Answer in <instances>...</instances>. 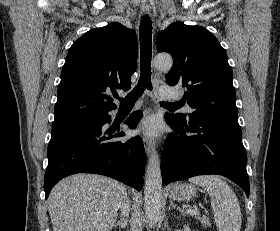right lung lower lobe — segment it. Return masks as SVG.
I'll list each match as a JSON object with an SVG mask.
<instances>
[{
	"instance_id": "1",
	"label": "right lung lower lobe",
	"mask_w": 280,
	"mask_h": 231,
	"mask_svg": "<svg viewBox=\"0 0 280 231\" xmlns=\"http://www.w3.org/2000/svg\"><path fill=\"white\" fill-rule=\"evenodd\" d=\"M141 112L126 121L136 127ZM111 122L108 113L53 124L44 177L46 199L53 186L75 173H96L112 177L137 190L143 187L145 152L140 137L119 141L124 132L102 131ZM114 133V134H112Z\"/></svg>"
}]
</instances>
